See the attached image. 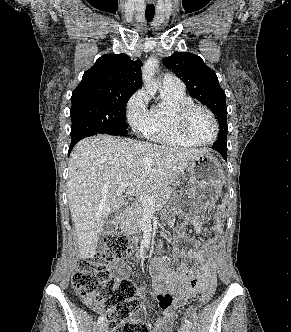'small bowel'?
Here are the masks:
<instances>
[{
	"label": "small bowel",
	"mask_w": 291,
	"mask_h": 332,
	"mask_svg": "<svg viewBox=\"0 0 291 332\" xmlns=\"http://www.w3.org/2000/svg\"><path fill=\"white\" fill-rule=\"evenodd\" d=\"M195 231L202 235L205 230L202 221H193ZM211 231L220 233L221 225L216 222ZM174 253L182 259H192L198 263L195 270L188 269L183 262L174 263L167 256L155 257L151 260L149 273L152 279L151 294L156 298L163 313L154 322L150 332H171L175 309L181 307L187 300L193 298L210 286L215 285L216 276L210 252L214 249L216 238L207 240L203 245L191 249L183 246L190 243L185 232L184 224H179L174 229ZM115 271L125 275L128 266L125 263L116 264Z\"/></svg>",
	"instance_id": "1"
}]
</instances>
